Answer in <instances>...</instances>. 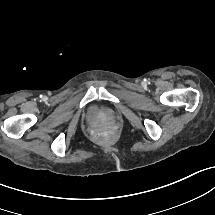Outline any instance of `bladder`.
Segmentation results:
<instances>
[{
  "instance_id": "1",
  "label": "bladder",
  "mask_w": 215,
  "mask_h": 215,
  "mask_svg": "<svg viewBox=\"0 0 215 215\" xmlns=\"http://www.w3.org/2000/svg\"><path fill=\"white\" fill-rule=\"evenodd\" d=\"M115 118L114 109L108 105H94L87 112V121L92 124H110Z\"/></svg>"
}]
</instances>
